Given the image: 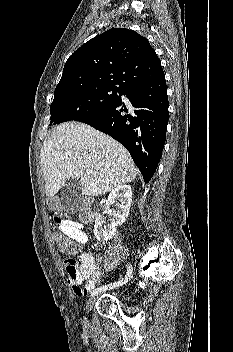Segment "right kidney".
I'll return each mask as SVG.
<instances>
[{"mask_svg":"<svg viewBox=\"0 0 233 352\" xmlns=\"http://www.w3.org/2000/svg\"><path fill=\"white\" fill-rule=\"evenodd\" d=\"M116 199L120 200L117 203L116 209L113 211L112 222L105 225L104 213L110 204H113ZM132 202V189L129 185H120L113 189L105 202L101 203V211L96 213L94 225V235L99 242H105L113 238L116 233V227L121 226L129 214V209Z\"/></svg>","mask_w":233,"mask_h":352,"instance_id":"obj_1","label":"right kidney"}]
</instances>
